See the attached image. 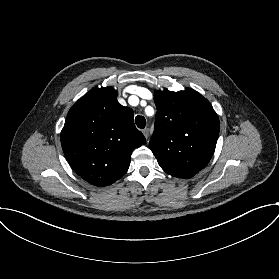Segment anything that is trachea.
Segmentation results:
<instances>
[{
    "mask_svg": "<svg viewBox=\"0 0 279 279\" xmlns=\"http://www.w3.org/2000/svg\"><path fill=\"white\" fill-rule=\"evenodd\" d=\"M135 122L137 124V127L140 129H143L146 126V119L143 116H136Z\"/></svg>",
    "mask_w": 279,
    "mask_h": 279,
    "instance_id": "1",
    "label": "trachea"
}]
</instances>
